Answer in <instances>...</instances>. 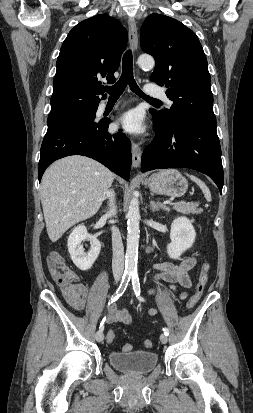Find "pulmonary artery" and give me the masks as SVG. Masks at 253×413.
<instances>
[{
	"instance_id": "pulmonary-artery-1",
	"label": "pulmonary artery",
	"mask_w": 253,
	"mask_h": 413,
	"mask_svg": "<svg viewBox=\"0 0 253 413\" xmlns=\"http://www.w3.org/2000/svg\"><path fill=\"white\" fill-rule=\"evenodd\" d=\"M145 92L147 93V95L164 99L168 104L171 103V101L166 96L165 91L160 87L148 84L145 87ZM105 107H106V102H102L99 105V110L103 111L105 109Z\"/></svg>"
}]
</instances>
